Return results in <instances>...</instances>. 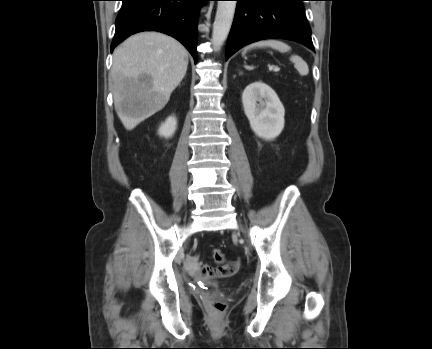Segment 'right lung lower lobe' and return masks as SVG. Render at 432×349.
Instances as JSON below:
<instances>
[{"label":"right lung lower lobe","mask_w":432,"mask_h":349,"mask_svg":"<svg viewBox=\"0 0 432 349\" xmlns=\"http://www.w3.org/2000/svg\"><path fill=\"white\" fill-rule=\"evenodd\" d=\"M203 1L209 0H122L111 52L132 34L158 31L179 40L196 62L197 21Z\"/></svg>","instance_id":"obj_1"}]
</instances>
